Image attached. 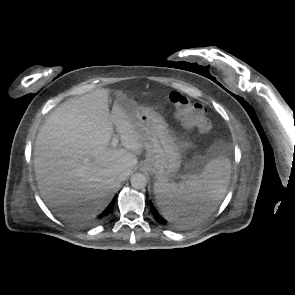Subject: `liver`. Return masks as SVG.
Masks as SVG:
<instances>
[{
	"mask_svg": "<svg viewBox=\"0 0 295 295\" xmlns=\"http://www.w3.org/2000/svg\"><path fill=\"white\" fill-rule=\"evenodd\" d=\"M108 98L109 91L101 88L66 101L51 113L37 135L34 169L38 187L53 207L72 210L71 215L59 214L65 219L84 220L102 212L120 185L119 174L129 176L145 146L117 99L109 112ZM114 126L122 148L110 145Z\"/></svg>",
	"mask_w": 295,
	"mask_h": 295,
	"instance_id": "6515ba94",
	"label": "liver"
}]
</instances>
